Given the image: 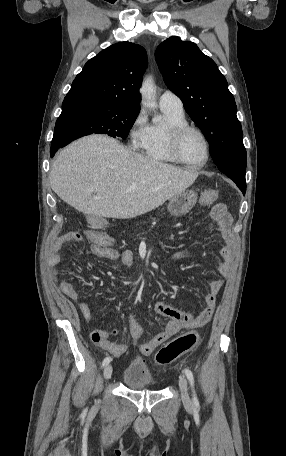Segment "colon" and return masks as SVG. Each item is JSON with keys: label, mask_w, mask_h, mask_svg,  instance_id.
Wrapping results in <instances>:
<instances>
[{"label": "colon", "mask_w": 286, "mask_h": 456, "mask_svg": "<svg viewBox=\"0 0 286 456\" xmlns=\"http://www.w3.org/2000/svg\"><path fill=\"white\" fill-rule=\"evenodd\" d=\"M218 198V192L216 190H207L201 196V203L209 205ZM80 233L75 232L76 237ZM199 335L197 332H189L180 335L169 342L167 345L162 347L156 354V362L159 365H168L175 361L181 355L194 349L199 343ZM147 350V349H146Z\"/></svg>", "instance_id": "1"}]
</instances>
